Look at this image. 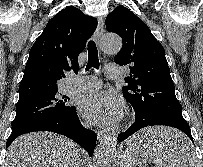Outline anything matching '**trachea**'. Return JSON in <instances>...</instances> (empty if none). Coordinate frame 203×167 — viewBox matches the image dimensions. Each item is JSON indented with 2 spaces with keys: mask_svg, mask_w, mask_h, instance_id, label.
<instances>
[{
  "mask_svg": "<svg viewBox=\"0 0 203 167\" xmlns=\"http://www.w3.org/2000/svg\"><path fill=\"white\" fill-rule=\"evenodd\" d=\"M99 58H98V50L96 47V44L93 40H90L88 42V62L86 66V71H88L90 68H96L99 69Z\"/></svg>",
  "mask_w": 203,
  "mask_h": 167,
  "instance_id": "obj_1",
  "label": "trachea"
}]
</instances>
